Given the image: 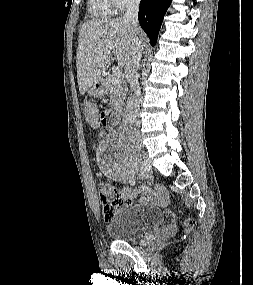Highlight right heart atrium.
<instances>
[{"instance_id": "d8ad5b80", "label": "right heart atrium", "mask_w": 253, "mask_h": 285, "mask_svg": "<svg viewBox=\"0 0 253 285\" xmlns=\"http://www.w3.org/2000/svg\"><path fill=\"white\" fill-rule=\"evenodd\" d=\"M117 10H125L139 3L140 0H112Z\"/></svg>"}]
</instances>
